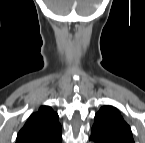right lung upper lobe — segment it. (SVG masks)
<instances>
[{
    "mask_svg": "<svg viewBox=\"0 0 145 143\" xmlns=\"http://www.w3.org/2000/svg\"><path fill=\"white\" fill-rule=\"evenodd\" d=\"M58 114L49 106H41L19 131L16 143H61Z\"/></svg>",
    "mask_w": 145,
    "mask_h": 143,
    "instance_id": "1",
    "label": "right lung upper lobe"
}]
</instances>
